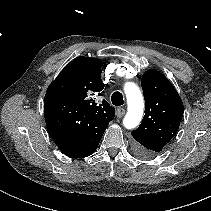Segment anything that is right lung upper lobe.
Segmentation results:
<instances>
[{
  "label": "right lung upper lobe",
  "mask_w": 211,
  "mask_h": 211,
  "mask_svg": "<svg viewBox=\"0 0 211 211\" xmlns=\"http://www.w3.org/2000/svg\"><path fill=\"white\" fill-rule=\"evenodd\" d=\"M102 62L89 57H77L68 64L49 85L48 94L66 96L79 107L78 123L82 126H105L113 120L115 109L105 100L95 103L93 96L100 95L105 87L101 80ZM63 140V137H60Z\"/></svg>",
  "instance_id": "right-lung-upper-lobe-1"
}]
</instances>
